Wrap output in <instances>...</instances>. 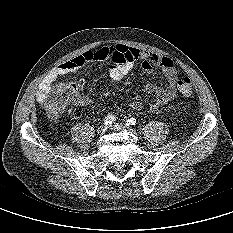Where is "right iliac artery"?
Here are the masks:
<instances>
[{"mask_svg": "<svg viewBox=\"0 0 233 233\" xmlns=\"http://www.w3.org/2000/svg\"><path fill=\"white\" fill-rule=\"evenodd\" d=\"M114 121H116V117L114 116V115H108V116H106L105 117V119H104V124L105 125H110V124H112Z\"/></svg>", "mask_w": 233, "mask_h": 233, "instance_id": "right-iliac-artery-1", "label": "right iliac artery"}]
</instances>
